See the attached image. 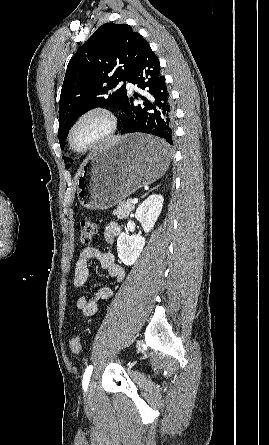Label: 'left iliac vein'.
<instances>
[{
  "mask_svg": "<svg viewBox=\"0 0 269 445\" xmlns=\"http://www.w3.org/2000/svg\"><path fill=\"white\" fill-rule=\"evenodd\" d=\"M95 394L93 380L90 382L87 390H86V398L91 399Z\"/></svg>",
  "mask_w": 269,
  "mask_h": 445,
  "instance_id": "4c4485c4",
  "label": "left iliac vein"
}]
</instances>
